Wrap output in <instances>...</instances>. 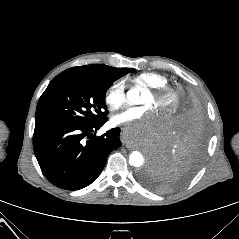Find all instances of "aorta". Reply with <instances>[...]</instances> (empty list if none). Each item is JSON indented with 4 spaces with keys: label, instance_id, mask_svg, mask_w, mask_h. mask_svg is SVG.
Listing matches in <instances>:
<instances>
[{
    "label": "aorta",
    "instance_id": "1",
    "mask_svg": "<svg viewBox=\"0 0 239 239\" xmlns=\"http://www.w3.org/2000/svg\"><path fill=\"white\" fill-rule=\"evenodd\" d=\"M140 90L137 88L131 89L127 92V98L131 103L138 101ZM145 162V158L139 151H133L129 155V164L134 167H141Z\"/></svg>",
    "mask_w": 239,
    "mask_h": 239
}]
</instances>
